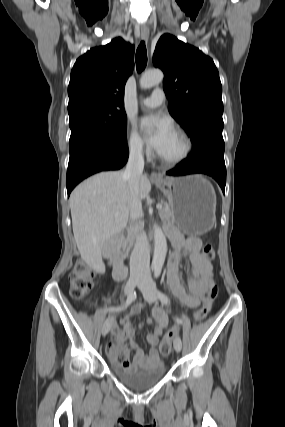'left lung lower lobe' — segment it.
I'll return each mask as SVG.
<instances>
[{"mask_svg": "<svg viewBox=\"0 0 285 427\" xmlns=\"http://www.w3.org/2000/svg\"><path fill=\"white\" fill-rule=\"evenodd\" d=\"M203 173L212 176L221 186L226 184L223 138L206 137L194 144L190 157L182 160L176 168L166 172L170 176Z\"/></svg>", "mask_w": 285, "mask_h": 427, "instance_id": "left-lung-lower-lobe-1", "label": "left lung lower lobe"}]
</instances>
